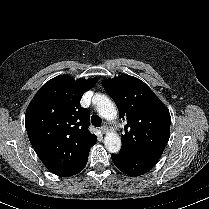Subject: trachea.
<instances>
[{"label":"trachea","instance_id":"3493384b","mask_svg":"<svg viewBox=\"0 0 209 209\" xmlns=\"http://www.w3.org/2000/svg\"><path fill=\"white\" fill-rule=\"evenodd\" d=\"M91 122L95 127H100L102 124V119L97 115H93L91 117Z\"/></svg>","mask_w":209,"mask_h":209}]
</instances>
